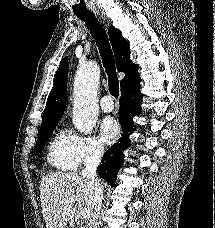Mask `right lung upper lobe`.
I'll list each match as a JSON object with an SVG mask.
<instances>
[{
  "instance_id": "cb5924a9",
  "label": "right lung upper lobe",
  "mask_w": 215,
  "mask_h": 228,
  "mask_svg": "<svg viewBox=\"0 0 215 228\" xmlns=\"http://www.w3.org/2000/svg\"><path fill=\"white\" fill-rule=\"evenodd\" d=\"M108 33L114 51L117 69L119 72H125V77L120 83L122 87L127 78L138 74V66L130 60L129 44L123 38L121 32L110 26ZM67 76L68 63L67 58H64L56 72L54 85L49 94L42 117V125L59 122L61 119L67 100Z\"/></svg>"
}]
</instances>
